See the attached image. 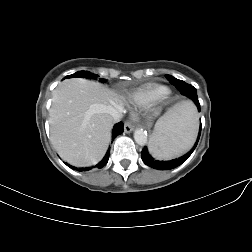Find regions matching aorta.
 Wrapping results in <instances>:
<instances>
[{"label":"aorta","mask_w":252,"mask_h":252,"mask_svg":"<svg viewBox=\"0 0 252 252\" xmlns=\"http://www.w3.org/2000/svg\"><path fill=\"white\" fill-rule=\"evenodd\" d=\"M134 139L140 146H144L147 143V133L142 129H137L134 132Z\"/></svg>","instance_id":"762f6f07"}]
</instances>
